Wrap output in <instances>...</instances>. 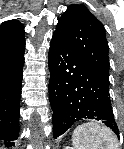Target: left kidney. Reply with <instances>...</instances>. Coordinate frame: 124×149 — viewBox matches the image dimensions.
<instances>
[{
    "mask_svg": "<svg viewBox=\"0 0 124 149\" xmlns=\"http://www.w3.org/2000/svg\"><path fill=\"white\" fill-rule=\"evenodd\" d=\"M65 149H73V148L70 146H66Z\"/></svg>",
    "mask_w": 124,
    "mask_h": 149,
    "instance_id": "obj_1",
    "label": "left kidney"
}]
</instances>
